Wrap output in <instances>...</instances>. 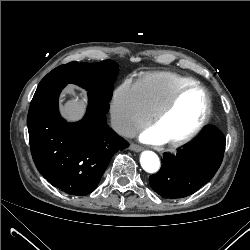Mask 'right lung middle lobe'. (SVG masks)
<instances>
[{
  "instance_id": "1",
  "label": "right lung middle lobe",
  "mask_w": 250,
  "mask_h": 250,
  "mask_svg": "<svg viewBox=\"0 0 250 250\" xmlns=\"http://www.w3.org/2000/svg\"><path fill=\"white\" fill-rule=\"evenodd\" d=\"M118 66L112 60L98 63L70 62L48 73L38 87L51 83H73L109 102L119 72Z\"/></svg>"
}]
</instances>
